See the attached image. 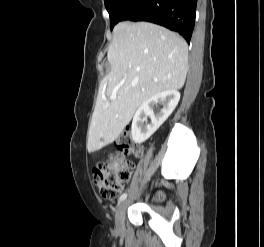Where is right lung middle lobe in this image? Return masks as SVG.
Returning a JSON list of instances; mask_svg holds the SVG:
<instances>
[{"label": "right lung middle lobe", "mask_w": 264, "mask_h": 247, "mask_svg": "<svg viewBox=\"0 0 264 247\" xmlns=\"http://www.w3.org/2000/svg\"><path fill=\"white\" fill-rule=\"evenodd\" d=\"M132 0H104L105 7L110 16V29L120 21V16Z\"/></svg>", "instance_id": "right-lung-middle-lobe-1"}]
</instances>
